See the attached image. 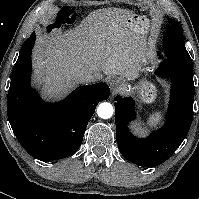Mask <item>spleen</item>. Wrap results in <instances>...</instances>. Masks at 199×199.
I'll return each mask as SVG.
<instances>
[{"label": "spleen", "mask_w": 199, "mask_h": 199, "mask_svg": "<svg viewBox=\"0 0 199 199\" xmlns=\"http://www.w3.org/2000/svg\"><path fill=\"white\" fill-rule=\"evenodd\" d=\"M161 120V112L157 111L152 113L149 118L147 119V124L149 126L156 125Z\"/></svg>", "instance_id": "3e777b00"}]
</instances>
